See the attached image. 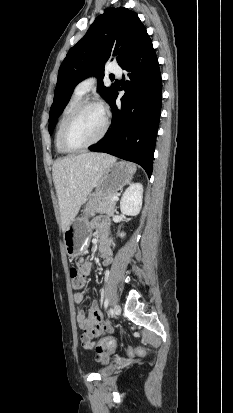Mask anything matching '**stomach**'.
<instances>
[{"instance_id": "1", "label": "stomach", "mask_w": 233, "mask_h": 413, "mask_svg": "<svg viewBox=\"0 0 233 413\" xmlns=\"http://www.w3.org/2000/svg\"><path fill=\"white\" fill-rule=\"evenodd\" d=\"M135 171L134 165L124 161H114L107 165L95 186V192L91 193L85 202L84 216L74 218L63 232V241L68 256L77 257L85 248V243L91 235L88 217L98 199L108 194H115L130 183Z\"/></svg>"}]
</instances>
